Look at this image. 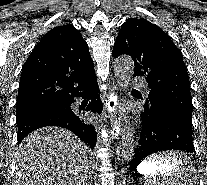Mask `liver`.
Here are the masks:
<instances>
[{
  "mask_svg": "<svg viewBox=\"0 0 207 185\" xmlns=\"http://www.w3.org/2000/svg\"><path fill=\"white\" fill-rule=\"evenodd\" d=\"M15 157L13 185H82L93 169L91 149L63 127L36 129Z\"/></svg>",
  "mask_w": 207,
  "mask_h": 185,
  "instance_id": "liver-1",
  "label": "liver"
}]
</instances>
